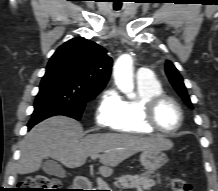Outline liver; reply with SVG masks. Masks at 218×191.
Segmentation results:
<instances>
[{
    "mask_svg": "<svg viewBox=\"0 0 218 191\" xmlns=\"http://www.w3.org/2000/svg\"><path fill=\"white\" fill-rule=\"evenodd\" d=\"M79 122L65 116H54L36 125L26 135L21 146L17 173L39 170L44 158L51 157L68 168L84 165L92 155H100L99 168L103 176L113 173V167L137 152L146 149L169 150L173 143L161 136L143 137L130 134H91L83 137Z\"/></svg>",
    "mask_w": 218,
    "mask_h": 191,
    "instance_id": "6515ba94",
    "label": "liver"
}]
</instances>
